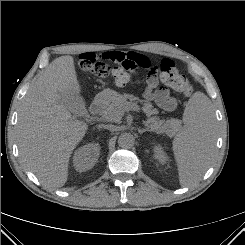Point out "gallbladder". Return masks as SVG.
<instances>
[{
	"label": "gallbladder",
	"mask_w": 245,
	"mask_h": 245,
	"mask_svg": "<svg viewBox=\"0 0 245 245\" xmlns=\"http://www.w3.org/2000/svg\"><path fill=\"white\" fill-rule=\"evenodd\" d=\"M67 110L74 114L78 115H85L86 114V107L85 102L82 96L78 93L70 91L64 95H62L61 99L59 100Z\"/></svg>",
	"instance_id": "obj_1"
}]
</instances>
